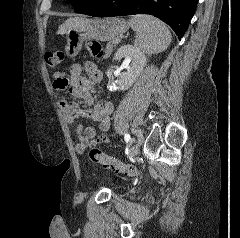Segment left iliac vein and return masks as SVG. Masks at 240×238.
Returning <instances> with one entry per match:
<instances>
[{"instance_id": "1", "label": "left iliac vein", "mask_w": 240, "mask_h": 238, "mask_svg": "<svg viewBox=\"0 0 240 238\" xmlns=\"http://www.w3.org/2000/svg\"><path fill=\"white\" fill-rule=\"evenodd\" d=\"M139 149H140V145L135 146L133 149L131 148L129 151L128 157H130V158L134 157L139 152Z\"/></svg>"}]
</instances>
